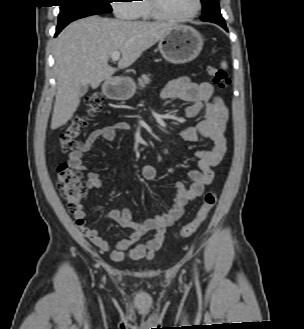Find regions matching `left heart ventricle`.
<instances>
[{
  "label": "left heart ventricle",
  "instance_id": "1",
  "mask_svg": "<svg viewBox=\"0 0 304 329\" xmlns=\"http://www.w3.org/2000/svg\"><path fill=\"white\" fill-rule=\"evenodd\" d=\"M166 13L183 16L192 13L196 7V0H160Z\"/></svg>",
  "mask_w": 304,
  "mask_h": 329
}]
</instances>
